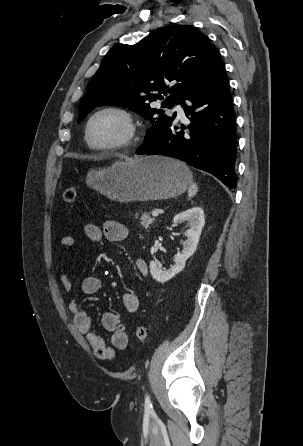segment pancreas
<instances>
[{
    "mask_svg": "<svg viewBox=\"0 0 303 446\" xmlns=\"http://www.w3.org/2000/svg\"><path fill=\"white\" fill-rule=\"evenodd\" d=\"M153 221L154 218H152L149 213H143L140 218L141 226H143L146 229L149 228V226L153 223Z\"/></svg>",
    "mask_w": 303,
    "mask_h": 446,
    "instance_id": "pancreas-1",
    "label": "pancreas"
}]
</instances>
